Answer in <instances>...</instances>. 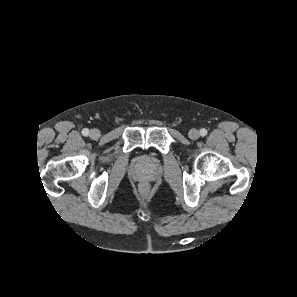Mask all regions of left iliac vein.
I'll list each match as a JSON object with an SVG mask.
<instances>
[{"instance_id":"1","label":"left iliac vein","mask_w":297,"mask_h":297,"mask_svg":"<svg viewBox=\"0 0 297 297\" xmlns=\"http://www.w3.org/2000/svg\"><path fill=\"white\" fill-rule=\"evenodd\" d=\"M188 136L190 139L192 140H196L199 138L200 134L199 131L197 129H191L188 133Z\"/></svg>"}]
</instances>
